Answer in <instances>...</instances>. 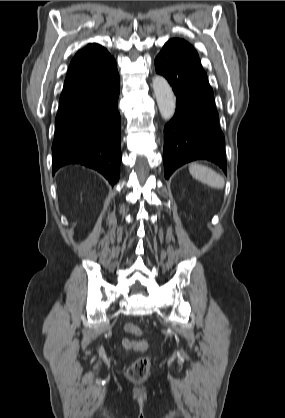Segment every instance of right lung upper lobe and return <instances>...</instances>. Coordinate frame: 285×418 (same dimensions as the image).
<instances>
[{
    "instance_id": "right-lung-upper-lobe-1",
    "label": "right lung upper lobe",
    "mask_w": 285,
    "mask_h": 418,
    "mask_svg": "<svg viewBox=\"0 0 285 418\" xmlns=\"http://www.w3.org/2000/svg\"><path fill=\"white\" fill-rule=\"evenodd\" d=\"M115 70L116 61L104 47L88 44L70 63L60 101L98 84Z\"/></svg>"
}]
</instances>
